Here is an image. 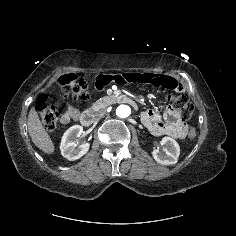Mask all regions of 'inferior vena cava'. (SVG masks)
<instances>
[{
    "mask_svg": "<svg viewBox=\"0 0 236 236\" xmlns=\"http://www.w3.org/2000/svg\"><path fill=\"white\" fill-rule=\"evenodd\" d=\"M103 116V112L97 113L95 116V120L100 119Z\"/></svg>",
    "mask_w": 236,
    "mask_h": 236,
    "instance_id": "1",
    "label": "inferior vena cava"
}]
</instances>
